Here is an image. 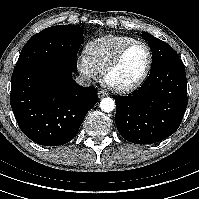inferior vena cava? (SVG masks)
<instances>
[{"label":"inferior vena cava","mask_w":199,"mask_h":199,"mask_svg":"<svg viewBox=\"0 0 199 199\" xmlns=\"http://www.w3.org/2000/svg\"><path fill=\"white\" fill-rule=\"evenodd\" d=\"M75 81L77 84L84 87H89L93 84L92 80L88 76L81 74L76 77Z\"/></svg>","instance_id":"obj_1"}]
</instances>
